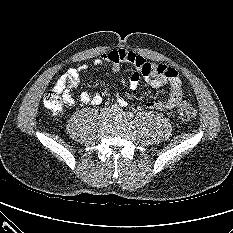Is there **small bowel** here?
I'll return each instance as SVG.
<instances>
[{
	"label": "small bowel",
	"mask_w": 233,
	"mask_h": 233,
	"mask_svg": "<svg viewBox=\"0 0 233 233\" xmlns=\"http://www.w3.org/2000/svg\"><path fill=\"white\" fill-rule=\"evenodd\" d=\"M103 62L110 63L114 69H118L122 63H129L134 66V71L129 77V87L136 89L141 80L154 88L168 84L170 94L166 100L148 101L145 107L153 111H166L174 109L183 99L182 82L178 72L173 67L164 64H155L148 62L143 56L127 49H118L106 52L100 58L94 61L95 65ZM87 67L82 65L77 68H69L56 82L54 88L63 92L69 105L73 103L72 93L82 79ZM80 101L85 104L100 105L103 97L100 94L82 92ZM118 103L125 106L126 102L120 98Z\"/></svg>",
	"instance_id": "small-bowel-1"
}]
</instances>
